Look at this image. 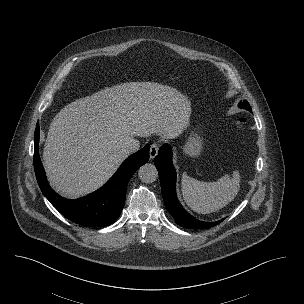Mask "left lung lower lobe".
I'll use <instances>...</instances> for the list:
<instances>
[{"label":"left lung lower lobe","instance_id":"1","mask_svg":"<svg viewBox=\"0 0 304 304\" xmlns=\"http://www.w3.org/2000/svg\"><path fill=\"white\" fill-rule=\"evenodd\" d=\"M171 153L169 145L164 144L154 160L161 182L164 204L168 212L174 217L175 222L184 228L205 229L217 225L220 221L204 222L197 220L187 213L178 202L175 192L176 171L172 164Z\"/></svg>","mask_w":304,"mask_h":304}]
</instances>
